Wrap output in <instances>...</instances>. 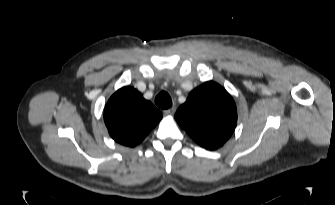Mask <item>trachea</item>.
I'll return each mask as SVG.
<instances>
[{
	"label": "trachea",
	"mask_w": 335,
	"mask_h": 205,
	"mask_svg": "<svg viewBox=\"0 0 335 205\" xmlns=\"http://www.w3.org/2000/svg\"><path fill=\"white\" fill-rule=\"evenodd\" d=\"M155 103L158 107L162 108V109H168L172 106V100L169 96L168 93L162 91L160 92L156 99H155Z\"/></svg>",
	"instance_id": "obj_1"
}]
</instances>
